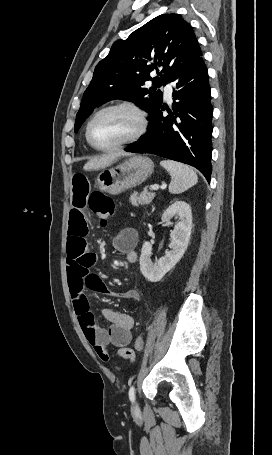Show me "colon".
I'll list each match as a JSON object with an SVG mask.
<instances>
[{"mask_svg":"<svg viewBox=\"0 0 272 455\" xmlns=\"http://www.w3.org/2000/svg\"><path fill=\"white\" fill-rule=\"evenodd\" d=\"M89 208L96 215L99 224L106 227L114 213V202L111 198L103 195L99 191H94L89 197ZM144 347L142 336L137 337L134 343L136 351H141Z\"/></svg>","mask_w":272,"mask_h":455,"instance_id":"5ec220e1","label":"colon"}]
</instances>
